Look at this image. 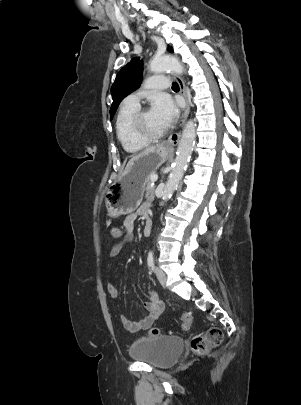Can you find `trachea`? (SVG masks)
<instances>
[{
  "mask_svg": "<svg viewBox=\"0 0 301 405\" xmlns=\"http://www.w3.org/2000/svg\"><path fill=\"white\" fill-rule=\"evenodd\" d=\"M172 89H173V90H179V85H178L177 82H174V83L172 84Z\"/></svg>",
  "mask_w": 301,
  "mask_h": 405,
  "instance_id": "3493384b",
  "label": "trachea"
}]
</instances>
